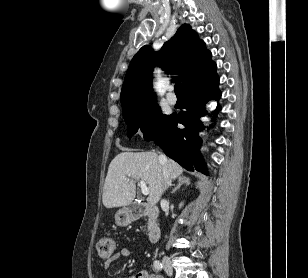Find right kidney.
Masks as SVG:
<instances>
[{"label":"right kidney","instance_id":"right-kidney-1","mask_svg":"<svg viewBox=\"0 0 308 278\" xmlns=\"http://www.w3.org/2000/svg\"><path fill=\"white\" fill-rule=\"evenodd\" d=\"M182 205H183V203H180L179 208H181V207H182Z\"/></svg>","mask_w":308,"mask_h":278}]
</instances>
